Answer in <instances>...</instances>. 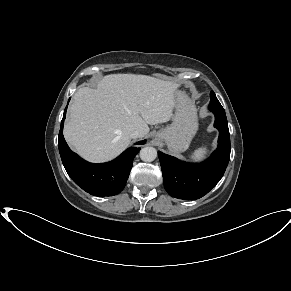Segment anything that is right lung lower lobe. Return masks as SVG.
I'll return each mask as SVG.
<instances>
[{
    "label": "right lung lower lobe",
    "instance_id": "1",
    "mask_svg": "<svg viewBox=\"0 0 291 291\" xmlns=\"http://www.w3.org/2000/svg\"><path fill=\"white\" fill-rule=\"evenodd\" d=\"M67 107L61 121L58 148L63 165L71 179L84 191L94 196H113L120 193L127 182L133 160L140 148L131 147L115 160L92 164L72 152L63 137V125ZM145 141L137 142V145Z\"/></svg>",
    "mask_w": 291,
    "mask_h": 291
}]
</instances>
